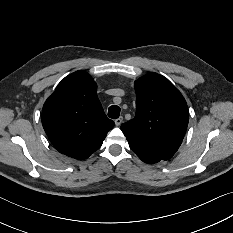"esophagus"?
<instances>
[{
	"label": "esophagus",
	"mask_w": 233,
	"mask_h": 233,
	"mask_svg": "<svg viewBox=\"0 0 233 233\" xmlns=\"http://www.w3.org/2000/svg\"><path fill=\"white\" fill-rule=\"evenodd\" d=\"M123 119L124 118L122 116H120L119 118L115 119V125L116 126H120V124L122 123Z\"/></svg>",
	"instance_id": "obj_1"
}]
</instances>
